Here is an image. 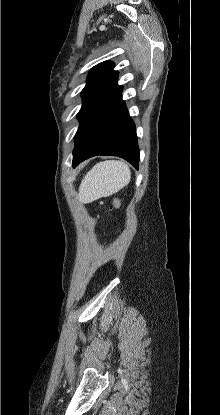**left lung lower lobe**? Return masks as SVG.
Masks as SVG:
<instances>
[{
    "mask_svg": "<svg viewBox=\"0 0 220 415\" xmlns=\"http://www.w3.org/2000/svg\"><path fill=\"white\" fill-rule=\"evenodd\" d=\"M121 92L122 86L112 82L83 116L75 135L73 167L93 156L112 155L138 169L140 152L135 124Z\"/></svg>",
    "mask_w": 220,
    "mask_h": 415,
    "instance_id": "obj_1",
    "label": "left lung lower lobe"
}]
</instances>
